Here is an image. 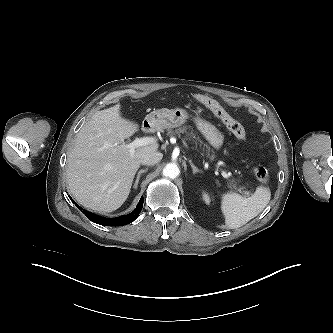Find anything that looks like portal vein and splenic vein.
Returning a JSON list of instances; mask_svg holds the SVG:
<instances>
[{
    "label": "portal vein and splenic vein",
    "mask_w": 333,
    "mask_h": 333,
    "mask_svg": "<svg viewBox=\"0 0 333 333\" xmlns=\"http://www.w3.org/2000/svg\"><path fill=\"white\" fill-rule=\"evenodd\" d=\"M154 142L155 140L153 137L136 138L133 142L124 145V147L127 148L133 154L136 148L153 144ZM221 174L225 179H228L230 176L224 171H222ZM245 194L248 195V192H245Z\"/></svg>",
    "instance_id": "18ae733b"
}]
</instances>
